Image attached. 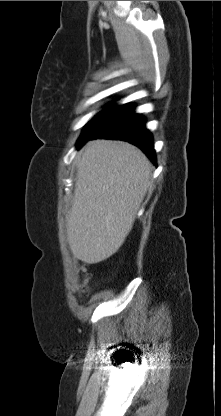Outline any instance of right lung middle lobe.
I'll use <instances>...</instances> for the list:
<instances>
[{"label":"right lung middle lobe","mask_w":221,"mask_h":416,"mask_svg":"<svg viewBox=\"0 0 221 416\" xmlns=\"http://www.w3.org/2000/svg\"><path fill=\"white\" fill-rule=\"evenodd\" d=\"M119 106H111L106 108L105 110L98 113L88 124L85 126L83 134L81 137L86 136L96 130L99 126H101L104 122H106L112 114L117 110ZM80 137V138H81Z\"/></svg>","instance_id":"right-lung-middle-lobe-1"}]
</instances>
